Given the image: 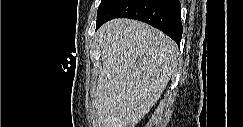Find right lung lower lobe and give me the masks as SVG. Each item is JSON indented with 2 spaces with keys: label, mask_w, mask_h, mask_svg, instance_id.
Instances as JSON below:
<instances>
[{
  "label": "right lung lower lobe",
  "mask_w": 243,
  "mask_h": 127,
  "mask_svg": "<svg viewBox=\"0 0 243 127\" xmlns=\"http://www.w3.org/2000/svg\"><path fill=\"white\" fill-rule=\"evenodd\" d=\"M120 17L146 22L180 45L183 27L179 0H110L97 13L96 30L105 22Z\"/></svg>",
  "instance_id": "right-lung-lower-lobe-1"
}]
</instances>
